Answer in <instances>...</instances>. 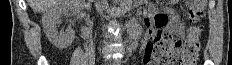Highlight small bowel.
<instances>
[{
	"mask_svg": "<svg viewBox=\"0 0 232 65\" xmlns=\"http://www.w3.org/2000/svg\"><path fill=\"white\" fill-rule=\"evenodd\" d=\"M145 25L148 29L149 41L144 48V63L153 64L155 57V46L160 37H170L175 32L177 36L183 37L185 30L177 23L176 18L170 21L168 14L159 12L154 6H150L146 12ZM159 65H172L171 62H160Z\"/></svg>",
	"mask_w": 232,
	"mask_h": 65,
	"instance_id": "obj_1",
	"label": "small bowel"
}]
</instances>
